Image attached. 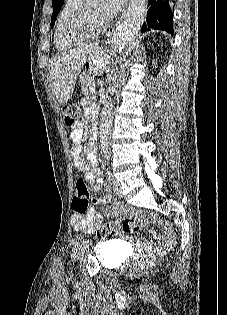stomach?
<instances>
[{"mask_svg": "<svg viewBox=\"0 0 227 315\" xmlns=\"http://www.w3.org/2000/svg\"><path fill=\"white\" fill-rule=\"evenodd\" d=\"M94 68L95 66L93 64V56L89 55L82 73L84 82H93V73L95 71ZM84 82H81V85H84Z\"/></svg>", "mask_w": 227, "mask_h": 315, "instance_id": "obj_1", "label": "stomach"}]
</instances>
